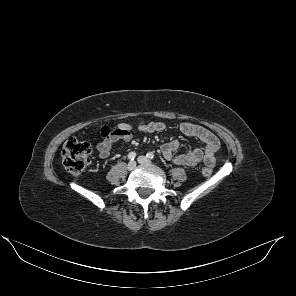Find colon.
Instances as JSON below:
<instances>
[{"mask_svg": "<svg viewBox=\"0 0 296 296\" xmlns=\"http://www.w3.org/2000/svg\"><path fill=\"white\" fill-rule=\"evenodd\" d=\"M91 154V146L76 138H69L62 150V163L65 169L73 175H78L86 168ZM213 167L206 164L202 168L205 176L211 175Z\"/></svg>", "mask_w": 296, "mask_h": 296, "instance_id": "colon-1", "label": "colon"}]
</instances>
